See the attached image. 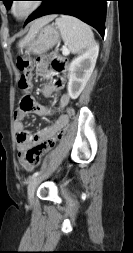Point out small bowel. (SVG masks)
<instances>
[{
	"label": "small bowel",
	"mask_w": 133,
	"mask_h": 253,
	"mask_svg": "<svg viewBox=\"0 0 133 253\" xmlns=\"http://www.w3.org/2000/svg\"><path fill=\"white\" fill-rule=\"evenodd\" d=\"M36 70L40 77L46 79V82L42 86L44 96L51 97L63 88V78L49 68L47 57L41 56L37 59ZM23 96L19 107L14 112L13 127L16 133L19 163L23 169L31 171L34 167L27 161L26 155L28 151L53 137L63 126L68 124V118L65 114H62L52 125L32 133L25 128L24 119L31 113L40 116L48 115L50 110L37 103L35 97H31V93H24ZM69 102V94L63 93L59 96L58 107L63 109Z\"/></svg>",
	"instance_id": "c3829d8e"
}]
</instances>
